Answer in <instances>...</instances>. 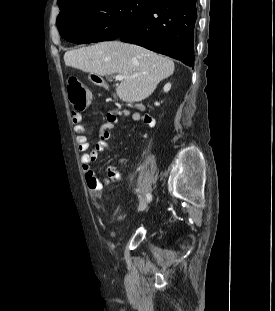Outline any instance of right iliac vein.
<instances>
[{"mask_svg":"<svg viewBox=\"0 0 275 311\" xmlns=\"http://www.w3.org/2000/svg\"><path fill=\"white\" fill-rule=\"evenodd\" d=\"M146 206H147V203L145 200H143L138 207V212H142L146 208Z\"/></svg>","mask_w":275,"mask_h":311,"instance_id":"right-iliac-vein-1","label":"right iliac vein"}]
</instances>
